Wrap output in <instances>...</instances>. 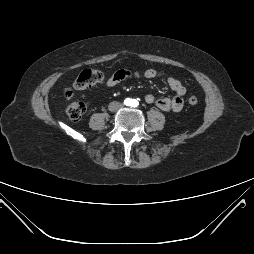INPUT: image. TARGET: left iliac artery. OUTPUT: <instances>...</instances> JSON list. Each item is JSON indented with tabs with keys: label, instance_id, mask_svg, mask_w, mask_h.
Segmentation results:
<instances>
[{
	"label": "left iliac artery",
	"instance_id": "obj_1",
	"mask_svg": "<svg viewBox=\"0 0 254 254\" xmlns=\"http://www.w3.org/2000/svg\"><path fill=\"white\" fill-rule=\"evenodd\" d=\"M139 105V102L137 101V100H134L133 102H132V106L133 107H137Z\"/></svg>",
	"mask_w": 254,
	"mask_h": 254
}]
</instances>
